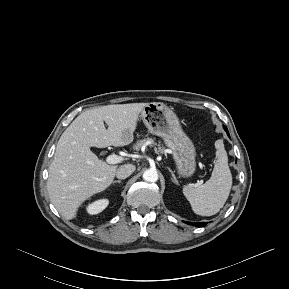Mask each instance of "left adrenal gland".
<instances>
[{
    "label": "left adrenal gland",
    "instance_id": "obj_1",
    "mask_svg": "<svg viewBox=\"0 0 289 289\" xmlns=\"http://www.w3.org/2000/svg\"><path fill=\"white\" fill-rule=\"evenodd\" d=\"M168 170L170 171V173H171V175H172V181H173L174 183L178 184V180H177V178L175 177L173 171H172L170 168H168Z\"/></svg>",
    "mask_w": 289,
    "mask_h": 289
}]
</instances>
